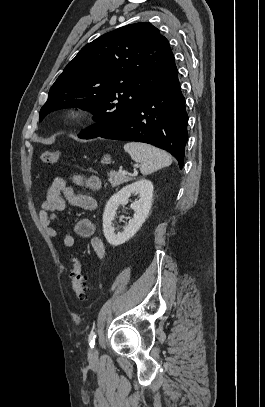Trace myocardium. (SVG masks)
I'll return each mask as SVG.
<instances>
[{
    "instance_id": "f54148a6",
    "label": "myocardium",
    "mask_w": 265,
    "mask_h": 407,
    "mask_svg": "<svg viewBox=\"0 0 265 407\" xmlns=\"http://www.w3.org/2000/svg\"><path fill=\"white\" fill-rule=\"evenodd\" d=\"M92 111L84 105H71L65 110V117L71 122H81L89 119Z\"/></svg>"
}]
</instances>
